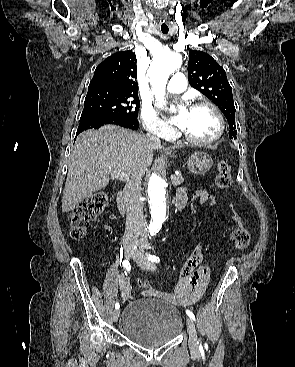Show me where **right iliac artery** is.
Returning a JSON list of instances; mask_svg holds the SVG:
<instances>
[{
  "label": "right iliac artery",
  "instance_id": "1",
  "mask_svg": "<svg viewBox=\"0 0 295 367\" xmlns=\"http://www.w3.org/2000/svg\"><path fill=\"white\" fill-rule=\"evenodd\" d=\"M121 260H122V257L120 256V263H121ZM118 261H119V259H118ZM123 267H124L127 271H130V270H131V266H130V263H129V261H128V260H124V261H123ZM119 307H120V305H119V303L117 302V303L115 304V308H116V309H119Z\"/></svg>",
  "mask_w": 295,
  "mask_h": 367
}]
</instances>
